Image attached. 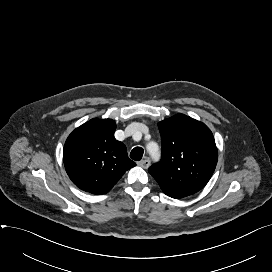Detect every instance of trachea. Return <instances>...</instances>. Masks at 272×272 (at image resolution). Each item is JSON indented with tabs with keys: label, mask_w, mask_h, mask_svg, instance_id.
Instances as JSON below:
<instances>
[{
	"label": "trachea",
	"mask_w": 272,
	"mask_h": 272,
	"mask_svg": "<svg viewBox=\"0 0 272 272\" xmlns=\"http://www.w3.org/2000/svg\"><path fill=\"white\" fill-rule=\"evenodd\" d=\"M144 150L141 147H135L131 153L130 157L135 161H140L143 157Z\"/></svg>",
	"instance_id": "3493384b"
}]
</instances>
